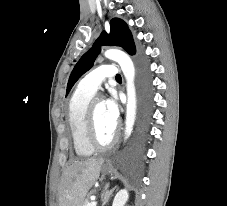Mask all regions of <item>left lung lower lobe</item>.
I'll list each match as a JSON object with an SVG mask.
<instances>
[{
	"label": "left lung lower lobe",
	"mask_w": 227,
	"mask_h": 206,
	"mask_svg": "<svg viewBox=\"0 0 227 206\" xmlns=\"http://www.w3.org/2000/svg\"><path fill=\"white\" fill-rule=\"evenodd\" d=\"M141 80H142V129L141 138L145 139L148 135L149 123L152 112V87L151 77L145 61H141Z\"/></svg>",
	"instance_id": "left-lung-lower-lobe-1"
}]
</instances>
